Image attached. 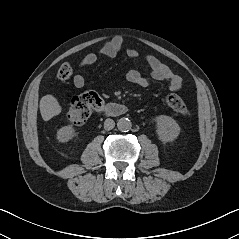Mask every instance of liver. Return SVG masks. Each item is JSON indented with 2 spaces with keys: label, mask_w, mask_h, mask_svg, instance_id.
<instances>
[{
  "label": "liver",
  "mask_w": 239,
  "mask_h": 239,
  "mask_svg": "<svg viewBox=\"0 0 239 239\" xmlns=\"http://www.w3.org/2000/svg\"><path fill=\"white\" fill-rule=\"evenodd\" d=\"M39 108L44 121H49L62 111V107L60 106L58 100L50 94L41 98Z\"/></svg>",
  "instance_id": "liver-1"
}]
</instances>
